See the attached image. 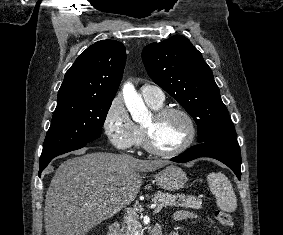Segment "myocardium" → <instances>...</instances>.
Wrapping results in <instances>:
<instances>
[{
  "mask_svg": "<svg viewBox=\"0 0 283 235\" xmlns=\"http://www.w3.org/2000/svg\"><path fill=\"white\" fill-rule=\"evenodd\" d=\"M171 113L179 114L184 118V120L186 121V124H187V128H188L187 136H186L185 140L178 147H176L172 150L163 151V150L156 149L152 145V143L150 141L149 131L145 126H143L142 127V146L148 153H150L154 156H158V157H174V156H177V155L185 152L187 149H189L195 141V138H196V135H197L196 124H195L193 117L185 109H183L181 107H175V106L161 107V108L155 110V112L153 113V118L155 120H159V119H161V118H163L166 115L171 114Z\"/></svg>",
  "mask_w": 283,
  "mask_h": 235,
  "instance_id": "1",
  "label": "myocardium"
}]
</instances>
